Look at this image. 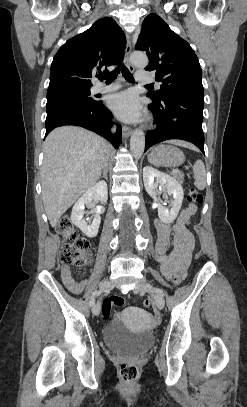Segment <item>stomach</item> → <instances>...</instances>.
Here are the masks:
<instances>
[{
    "instance_id": "obj_1",
    "label": "stomach",
    "mask_w": 247,
    "mask_h": 407,
    "mask_svg": "<svg viewBox=\"0 0 247 407\" xmlns=\"http://www.w3.org/2000/svg\"><path fill=\"white\" fill-rule=\"evenodd\" d=\"M148 160L155 166L177 167L184 163V153L172 145H158L151 150Z\"/></svg>"
}]
</instances>
